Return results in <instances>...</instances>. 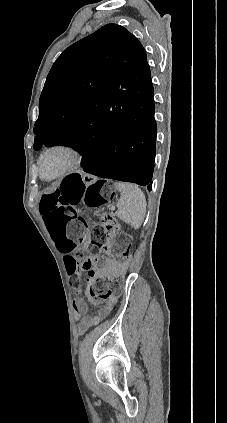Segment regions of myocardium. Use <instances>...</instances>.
<instances>
[{
    "label": "myocardium",
    "mask_w": 227,
    "mask_h": 423,
    "mask_svg": "<svg viewBox=\"0 0 227 423\" xmlns=\"http://www.w3.org/2000/svg\"><path fill=\"white\" fill-rule=\"evenodd\" d=\"M54 151L64 152L68 155L66 166L56 175L46 178L43 174V161L45 157ZM84 161L83 153L74 145L68 143H58L44 149L38 159V170L40 177L46 181H53L67 177L76 172L82 166Z\"/></svg>",
    "instance_id": "obj_1"
}]
</instances>
